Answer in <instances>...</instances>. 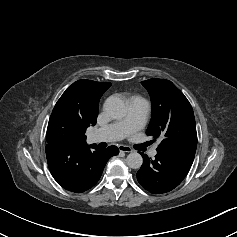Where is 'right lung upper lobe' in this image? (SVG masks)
I'll return each mask as SVG.
<instances>
[{
    "label": "right lung upper lobe",
    "mask_w": 237,
    "mask_h": 237,
    "mask_svg": "<svg viewBox=\"0 0 237 237\" xmlns=\"http://www.w3.org/2000/svg\"><path fill=\"white\" fill-rule=\"evenodd\" d=\"M111 86L109 82L81 79L70 85L54 108L64 110L83 130L77 144H85V130L96 124L98 104L103 93Z\"/></svg>",
    "instance_id": "right-lung-upper-lobe-1"
}]
</instances>
